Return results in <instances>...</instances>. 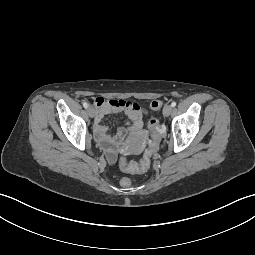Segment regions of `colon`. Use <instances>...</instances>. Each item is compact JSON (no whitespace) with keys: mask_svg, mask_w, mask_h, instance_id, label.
<instances>
[{"mask_svg":"<svg viewBox=\"0 0 255 255\" xmlns=\"http://www.w3.org/2000/svg\"><path fill=\"white\" fill-rule=\"evenodd\" d=\"M161 107H162V103L160 101H153L150 103V108L154 111L159 110ZM148 127L151 133V136L153 138L152 143L150 144L149 148L145 151L143 159L141 160L139 164L134 162H126L125 160L121 161V166L125 171L141 173L148 170L151 163V158L156 150L158 141L162 133L159 119L156 117H152L149 120ZM120 184L121 186L128 188L132 186L133 179L128 176H125L121 178Z\"/></svg>","mask_w":255,"mask_h":255,"instance_id":"colon-1","label":"colon"}]
</instances>
